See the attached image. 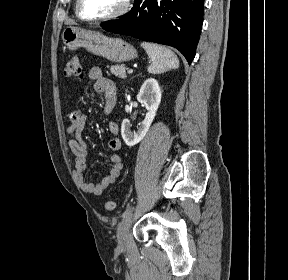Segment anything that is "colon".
Segmentation results:
<instances>
[{
	"label": "colon",
	"instance_id": "colon-1",
	"mask_svg": "<svg viewBox=\"0 0 288 280\" xmlns=\"http://www.w3.org/2000/svg\"><path fill=\"white\" fill-rule=\"evenodd\" d=\"M64 75L67 78L80 79L82 78V68L77 57L70 58L64 68ZM116 204L112 200H108L104 204V209L108 212L115 210Z\"/></svg>",
	"mask_w": 288,
	"mask_h": 280
}]
</instances>
